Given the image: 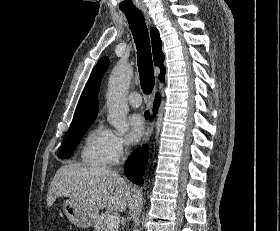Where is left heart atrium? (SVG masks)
<instances>
[{"label":"left heart atrium","mask_w":280,"mask_h":231,"mask_svg":"<svg viewBox=\"0 0 280 231\" xmlns=\"http://www.w3.org/2000/svg\"><path fill=\"white\" fill-rule=\"evenodd\" d=\"M128 139L132 143H137L145 133V122L141 115L132 114L128 117Z\"/></svg>","instance_id":"obj_1"}]
</instances>
